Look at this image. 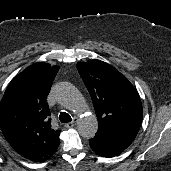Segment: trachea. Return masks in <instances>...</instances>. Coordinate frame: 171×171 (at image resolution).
Returning a JSON list of instances; mask_svg holds the SVG:
<instances>
[{
	"label": "trachea",
	"instance_id": "1",
	"mask_svg": "<svg viewBox=\"0 0 171 171\" xmlns=\"http://www.w3.org/2000/svg\"><path fill=\"white\" fill-rule=\"evenodd\" d=\"M59 120L62 123H68V122H71L72 121V118H71V116L68 113L61 112L60 115H59Z\"/></svg>",
	"mask_w": 171,
	"mask_h": 171
}]
</instances>
